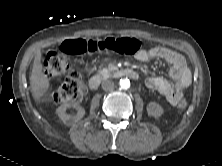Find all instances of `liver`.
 Listing matches in <instances>:
<instances>
[{
	"label": "liver",
	"mask_w": 222,
	"mask_h": 166,
	"mask_svg": "<svg viewBox=\"0 0 222 166\" xmlns=\"http://www.w3.org/2000/svg\"><path fill=\"white\" fill-rule=\"evenodd\" d=\"M30 86L32 96L35 101H39L48 91L50 83L48 77L43 72L41 63V52L38 51L33 61L32 72L30 75Z\"/></svg>",
	"instance_id": "liver-1"
}]
</instances>
